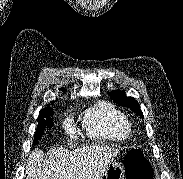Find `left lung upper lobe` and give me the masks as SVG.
I'll use <instances>...</instances> for the list:
<instances>
[{
  "label": "left lung upper lobe",
  "instance_id": "obj_1",
  "mask_svg": "<svg viewBox=\"0 0 183 179\" xmlns=\"http://www.w3.org/2000/svg\"><path fill=\"white\" fill-rule=\"evenodd\" d=\"M109 95L113 99V101L118 103L119 105L130 108L133 112L140 116L143 115L139 103L133 97L125 96L124 90H115L109 93Z\"/></svg>",
  "mask_w": 183,
  "mask_h": 179
}]
</instances>
